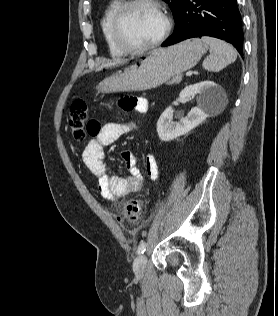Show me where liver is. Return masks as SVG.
<instances>
[{"label":"liver","mask_w":278,"mask_h":316,"mask_svg":"<svg viewBox=\"0 0 278 316\" xmlns=\"http://www.w3.org/2000/svg\"><path fill=\"white\" fill-rule=\"evenodd\" d=\"M115 64H116L115 62H113V63H106V64L101 65L99 69H102L104 67H111V66H113Z\"/></svg>","instance_id":"liver-1"}]
</instances>
